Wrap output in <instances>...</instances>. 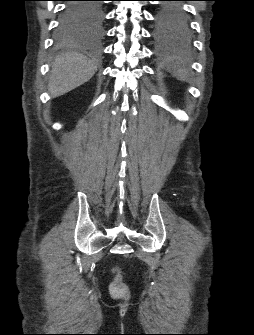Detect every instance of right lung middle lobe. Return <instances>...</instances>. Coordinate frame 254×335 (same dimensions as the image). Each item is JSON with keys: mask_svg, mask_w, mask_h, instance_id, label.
Segmentation results:
<instances>
[{"mask_svg": "<svg viewBox=\"0 0 254 335\" xmlns=\"http://www.w3.org/2000/svg\"><path fill=\"white\" fill-rule=\"evenodd\" d=\"M90 6L98 10L99 21L97 24L89 29L82 30L79 26V17L75 16V21L68 27L58 28L57 37L60 40H68L79 35H100L102 33L103 10L100 2H90Z\"/></svg>", "mask_w": 254, "mask_h": 335, "instance_id": "dd1d6c3e", "label": "right lung middle lobe"}]
</instances>
